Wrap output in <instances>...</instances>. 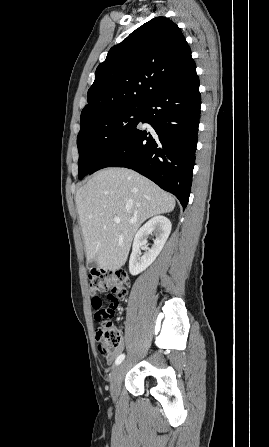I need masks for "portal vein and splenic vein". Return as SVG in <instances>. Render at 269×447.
I'll list each match as a JSON object with an SVG mask.
<instances>
[{"mask_svg": "<svg viewBox=\"0 0 269 447\" xmlns=\"http://www.w3.org/2000/svg\"><path fill=\"white\" fill-rule=\"evenodd\" d=\"M114 222H117V224H119L120 218H117V216H115ZM134 222H137V220H130V224H134Z\"/></svg>", "mask_w": 269, "mask_h": 447, "instance_id": "portal-vein-and-splenic-vein-1", "label": "portal vein and splenic vein"}]
</instances>
